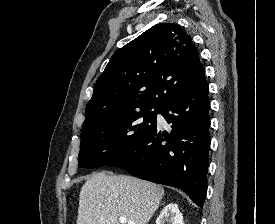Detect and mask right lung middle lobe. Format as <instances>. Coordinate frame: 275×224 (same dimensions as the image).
I'll return each mask as SVG.
<instances>
[{
  "instance_id": "right-lung-middle-lobe-1",
  "label": "right lung middle lobe",
  "mask_w": 275,
  "mask_h": 224,
  "mask_svg": "<svg viewBox=\"0 0 275 224\" xmlns=\"http://www.w3.org/2000/svg\"><path fill=\"white\" fill-rule=\"evenodd\" d=\"M161 109H141L95 123L81 132L79 167L111 164L151 134Z\"/></svg>"
}]
</instances>
